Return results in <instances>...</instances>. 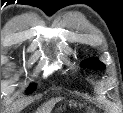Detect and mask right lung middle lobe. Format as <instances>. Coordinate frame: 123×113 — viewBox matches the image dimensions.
<instances>
[{"label": "right lung middle lobe", "mask_w": 123, "mask_h": 113, "mask_svg": "<svg viewBox=\"0 0 123 113\" xmlns=\"http://www.w3.org/2000/svg\"><path fill=\"white\" fill-rule=\"evenodd\" d=\"M35 90V86H30L27 90V93H32Z\"/></svg>", "instance_id": "right-lung-middle-lobe-1"}]
</instances>
